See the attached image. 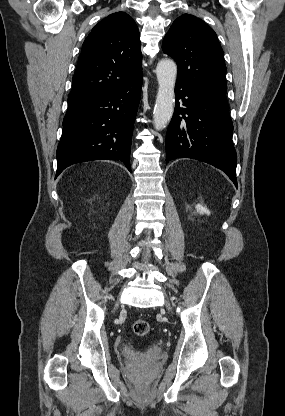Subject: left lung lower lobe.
Segmentation results:
<instances>
[{"mask_svg": "<svg viewBox=\"0 0 285 416\" xmlns=\"http://www.w3.org/2000/svg\"><path fill=\"white\" fill-rule=\"evenodd\" d=\"M175 94L176 110L166 136V163L177 158L209 163L225 172L237 188V155L227 101L178 81Z\"/></svg>", "mask_w": 285, "mask_h": 416, "instance_id": "0a47b994", "label": "left lung lower lobe"}]
</instances>
